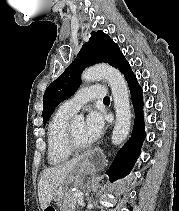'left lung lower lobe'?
<instances>
[{
    "label": "left lung lower lobe",
    "mask_w": 179,
    "mask_h": 211,
    "mask_svg": "<svg viewBox=\"0 0 179 211\" xmlns=\"http://www.w3.org/2000/svg\"><path fill=\"white\" fill-rule=\"evenodd\" d=\"M116 68L124 74L128 82L135 109V124L130 139L117 153L112 166L106 172L111 181H115L128 175L140 154V148L145 138L142 112V89L137 83L136 76L132 72L130 64L125 58L118 63Z\"/></svg>",
    "instance_id": "1"
}]
</instances>
